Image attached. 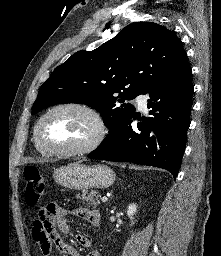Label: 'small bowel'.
Listing matches in <instances>:
<instances>
[{
	"label": "small bowel",
	"mask_w": 221,
	"mask_h": 256,
	"mask_svg": "<svg viewBox=\"0 0 221 256\" xmlns=\"http://www.w3.org/2000/svg\"><path fill=\"white\" fill-rule=\"evenodd\" d=\"M69 214L68 210L55 204H47L40 210L33 223L32 236L43 256H52L53 244L64 256H83L61 236V233L67 232L70 228ZM73 214L87 220L94 227L100 224V214L97 210L80 207L75 209ZM77 240L84 248L92 246L91 240L85 235H78ZM86 256H100V253L97 250H90Z\"/></svg>",
	"instance_id": "obj_1"
}]
</instances>
